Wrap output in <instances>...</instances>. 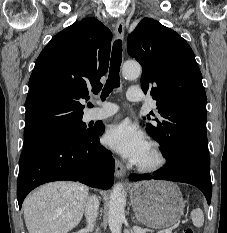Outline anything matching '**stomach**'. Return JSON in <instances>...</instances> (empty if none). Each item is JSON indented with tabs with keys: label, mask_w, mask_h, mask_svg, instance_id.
Wrapping results in <instances>:
<instances>
[{
	"label": "stomach",
	"mask_w": 227,
	"mask_h": 233,
	"mask_svg": "<svg viewBox=\"0 0 227 233\" xmlns=\"http://www.w3.org/2000/svg\"><path fill=\"white\" fill-rule=\"evenodd\" d=\"M130 199L138 219L150 228H167L177 223L184 213L179 188L171 182L148 181L130 188Z\"/></svg>",
	"instance_id": "0dacf381"
}]
</instances>
